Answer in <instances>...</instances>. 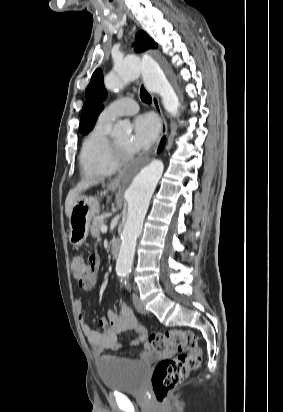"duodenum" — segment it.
<instances>
[{
	"label": "duodenum",
	"mask_w": 283,
	"mask_h": 412,
	"mask_svg": "<svg viewBox=\"0 0 283 412\" xmlns=\"http://www.w3.org/2000/svg\"><path fill=\"white\" fill-rule=\"evenodd\" d=\"M120 249H121L120 243L114 242L111 248V253H112L113 258L117 259L119 257Z\"/></svg>",
	"instance_id": "410a0bca"
}]
</instances>
